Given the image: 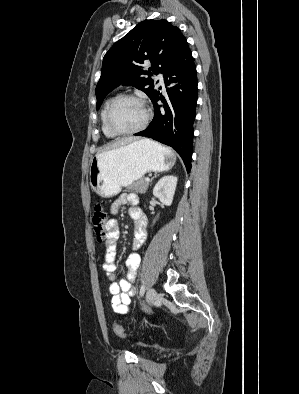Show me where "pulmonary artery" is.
<instances>
[{"label": "pulmonary artery", "mask_w": 299, "mask_h": 394, "mask_svg": "<svg viewBox=\"0 0 299 394\" xmlns=\"http://www.w3.org/2000/svg\"><path fill=\"white\" fill-rule=\"evenodd\" d=\"M157 79L159 80V84H160L161 86H164V75H163L162 73H159V74L157 75Z\"/></svg>", "instance_id": "e3ab8cb5"}]
</instances>
